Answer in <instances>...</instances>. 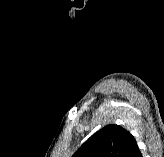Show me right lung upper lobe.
I'll use <instances>...</instances> for the list:
<instances>
[{
    "instance_id": "obj_1",
    "label": "right lung upper lobe",
    "mask_w": 164,
    "mask_h": 157,
    "mask_svg": "<svg viewBox=\"0 0 164 157\" xmlns=\"http://www.w3.org/2000/svg\"><path fill=\"white\" fill-rule=\"evenodd\" d=\"M136 146L127 130L110 124L94 133L72 157H128Z\"/></svg>"
}]
</instances>
